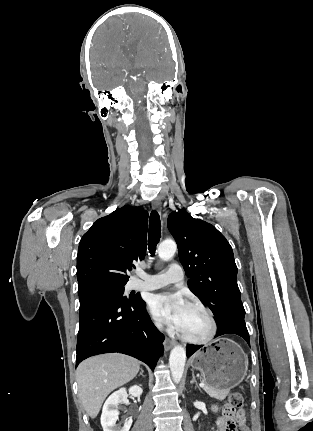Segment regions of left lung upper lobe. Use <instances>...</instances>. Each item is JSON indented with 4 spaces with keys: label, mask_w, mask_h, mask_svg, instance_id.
<instances>
[{
    "label": "left lung upper lobe",
    "mask_w": 313,
    "mask_h": 431,
    "mask_svg": "<svg viewBox=\"0 0 313 431\" xmlns=\"http://www.w3.org/2000/svg\"><path fill=\"white\" fill-rule=\"evenodd\" d=\"M167 224L177 242L189 288L211 309L217 325L244 317L237 266L226 238L213 225L192 218L185 210L173 211Z\"/></svg>",
    "instance_id": "obj_1"
}]
</instances>
